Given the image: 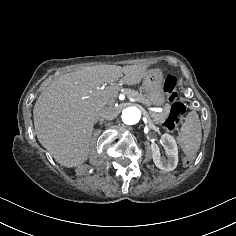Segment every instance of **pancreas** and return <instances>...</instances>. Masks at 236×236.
<instances>
[{
    "label": "pancreas",
    "instance_id": "obj_1",
    "mask_svg": "<svg viewBox=\"0 0 236 236\" xmlns=\"http://www.w3.org/2000/svg\"><path fill=\"white\" fill-rule=\"evenodd\" d=\"M124 94L128 98H132L135 100H143L141 94L135 90H125ZM149 115L154 119V121H156L157 119L164 121L166 119V113L163 111L160 113H150Z\"/></svg>",
    "mask_w": 236,
    "mask_h": 236
}]
</instances>
